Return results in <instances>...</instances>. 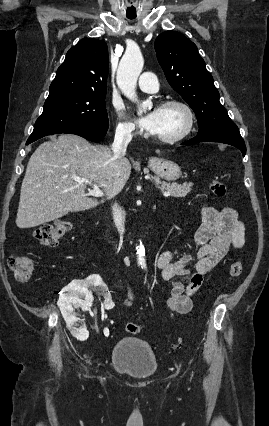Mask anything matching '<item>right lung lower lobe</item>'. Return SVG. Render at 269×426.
I'll use <instances>...</instances> for the list:
<instances>
[{"label":"right lung lower lobe","instance_id":"98d812e1","mask_svg":"<svg viewBox=\"0 0 269 426\" xmlns=\"http://www.w3.org/2000/svg\"><path fill=\"white\" fill-rule=\"evenodd\" d=\"M106 131L107 129H97V128L85 126V127H81L75 130L64 132V133L76 134L90 141L98 142L104 137V135L106 134ZM32 142L33 140H28L26 144L28 145Z\"/></svg>","mask_w":269,"mask_h":426}]
</instances>
